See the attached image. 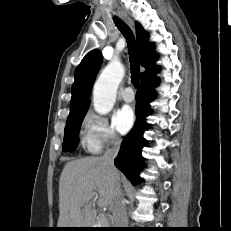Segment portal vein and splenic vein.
I'll return each mask as SVG.
<instances>
[{"label":"portal vein and splenic vein","instance_id":"18ae733b","mask_svg":"<svg viewBox=\"0 0 231 231\" xmlns=\"http://www.w3.org/2000/svg\"><path fill=\"white\" fill-rule=\"evenodd\" d=\"M97 198H98V197H97L96 194H92V195L89 197V199H93L94 201H96ZM98 204H99L100 207H103V204H102L101 201H98Z\"/></svg>","mask_w":231,"mask_h":231}]
</instances>
